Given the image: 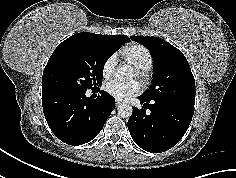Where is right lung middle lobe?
<instances>
[{"mask_svg":"<svg viewBox=\"0 0 236 178\" xmlns=\"http://www.w3.org/2000/svg\"><path fill=\"white\" fill-rule=\"evenodd\" d=\"M121 44L88 39L63 41L44 69L42 91L68 89L78 92L95 88L102 83L104 64Z\"/></svg>","mask_w":236,"mask_h":178,"instance_id":"right-lung-middle-lobe-1","label":"right lung middle lobe"}]
</instances>
